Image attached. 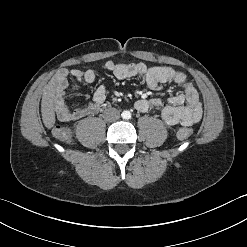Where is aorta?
I'll list each match as a JSON object with an SVG mask.
<instances>
[{"label":"aorta","mask_w":247,"mask_h":247,"mask_svg":"<svg viewBox=\"0 0 247 247\" xmlns=\"http://www.w3.org/2000/svg\"><path fill=\"white\" fill-rule=\"evenodd\" d=\"M122 118L123 119H130L131 118V113L129 111H123L122 112Z\"/></svg>","instance_id":"aorta-1"}]
</instances>
